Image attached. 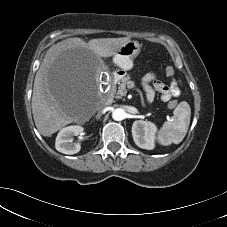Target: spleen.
Segmentation results:
<instances>
[{
    "label": "spleen",
    "instance_id": "3e777b00",
    "mask_svg": "<svg viewBox=\"0 0 227 227\" xmlns=\"http://www.w3.org/2000/svg\"><path fill=\"white\" fill-rule=\"evenodd\" d=\"M191 109L182 101L173 111V117L166 121L158 132L157 141L163 146L179 144L185 137L190 124Z\"/></svg>",
    "mask_w": 227,
    "mask_h": 227
}]
</instances>
